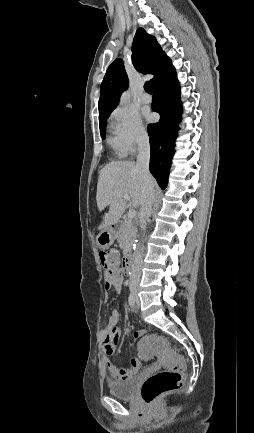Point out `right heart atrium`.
Returning <instances> with one entry per match:
<instances>
[{"mask_svg": "<svg viewBox=\"0 0 254 433\" xmlns=\"http://www.w3.org/2000/svg\"><path fill=\"white\" fill-rule=\"evenodd\" d=\"M110 120L122 154L132 155L148 142L147 130L136 111L118 107L112 112Z\"/></svg>", "mask_w": 254, "mask_h": 433, "instance_id": "obj_1", "label": "right heart atrium"}]
</instances>
